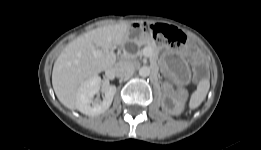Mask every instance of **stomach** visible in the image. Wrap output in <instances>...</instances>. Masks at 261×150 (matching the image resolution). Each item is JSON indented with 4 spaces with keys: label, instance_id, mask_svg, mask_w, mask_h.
Returning a JSON list of instances; mask_svg holds the SVG:
<instances>
[{
    "label": "stomach",
    "instance_id": "1",
    "mask_svg": "<svg viewBox=\"0 0 261 150\" xmlns=\"http://www.w3.org/2000/svg\"><path fill=\"white\" fill-rule=\"evenodd\" d=\"M134 37L136 38V37H137V35L135 34V35H134Z\"/></svg>",
    "mask_w": 261,
    "mask_h": 150
}]
</instances>
